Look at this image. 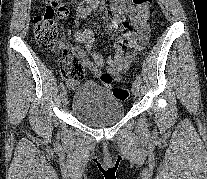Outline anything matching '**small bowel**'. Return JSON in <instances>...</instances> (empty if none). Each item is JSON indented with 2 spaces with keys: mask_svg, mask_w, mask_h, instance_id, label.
Returning a JSON list of instances; mask_svg holds the SVG:
<instances>
[{
  "mask_svg": "<svg viewBox=\"0 0 207 179\" xmlns=\"http://www.w3.org/2000/svg\"><path fill=\"white\" fill-rule=\"evenodd\" d=\"M111 10L118 19L127 15L131 16L132 21L141 31L139 40L136 41V34L128 33L124 38L120 37L115 43V56L109 57L106 61L107 72H102L105 63L104 58L92 51L93 34L89 29H81L77 26L76 40L82 45L81 52L82 61L85 67L89 69L94 78L102 80L104 75L110 76L112 81L103 83L107 88L111 87L113 81H120L121 74L125 72L134 60L132 53L126 52L123 45L127 44L134 51L139 52L143 49L149 34V9L143 6L138 11L133 10L130 0H112ZM69 15V9L61 3L60 9L57 11V17L64 19ZM117 25V24H116ZM60 49L67 50L69 45L60 43ZM73 85H70L72 87Z\"/></svg>",
  "mask_w": 207,
  "mask_h": 179,
  "instance_id": "small-bowel-1",
  "label": "small bowel"
}]
</instances>
